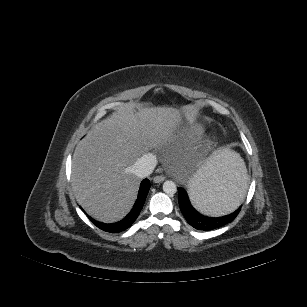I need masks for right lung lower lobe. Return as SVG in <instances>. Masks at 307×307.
<instances>
[{"label":"right lung lower lobe","instance_id":"98d812e1","mask_svg":"<svg viewBox=\"0 0 307 307\" xmlns=\"http://www.w3.org/2000/svg\"><path fill=\"white\" fill-rule=\"evenodd\" d=\"M149 189H150V181L148 179L143 180L140 185L138 198L136 200L134 207L132 208L130 213L121 221L112 223V224H105V223L96 221L92 219L91 217H89V219L94 223V225H96L98 228L106 232L118 233V232L124 231L127 228H129L134 223L136 218L138 217L145 203Z\"/></svg>","mask_w":307,"mask_h":307}]
</instances>
